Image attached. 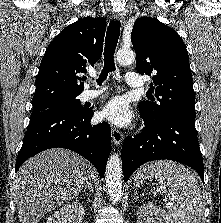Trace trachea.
<instances>
[{
	"mask_svg": "<svg viewBox=\"0 0 221 223\" xmlns=\"http://www.w3.org/2000/svg\"><path fill=\"white\" fill-rule=\"evenodd\" d=\"M120 25V21L117 20H112L109 23L105 38L104 68L97 80L98 85L102 84L109 72L115 71L114 52L119 39Z\"/></svg>",
	"mask_w": 221,
	"mask_h": 223,
	"instance_id": "1",
	"label": "trachea"
}]
</instances>
